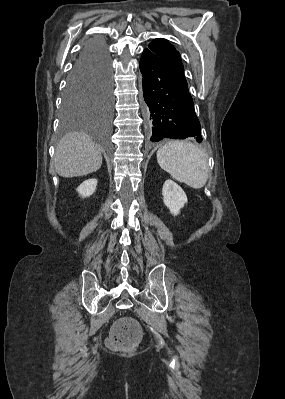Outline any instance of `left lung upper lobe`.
I'll list each match as a JSON object with an SVG mask.
<instances>
[{
    "instance_id": "obj_1",
    "label": "left lung upper lobe",
    "mask_w": 285,
    "mask_h": 399,
    "mask_svg": "<svg viewBox=\"0 0 285 399\" xmlns=\"http://www.w3.org/2000/svg\"><path fill=\"white\" fill-rule=\"evenodd\" d=\"M153 53L162 59L176 74L184 77V67L179 52L168 40L157 38L148 46Z\"/></svg>"
}]
</instances>
